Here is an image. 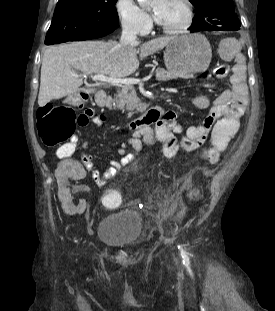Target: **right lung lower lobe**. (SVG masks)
<instances>
[{"label": "right lung lower lobe", "instance_id": "right-lung-lower-lobe-1", "mask_svg": "<svg viewBox=\"0 0 275 311\" xmlns=\"http://www.w3.org/2000/svg\"><path fill=\"white\" fill-rule=\"evenodd\" d=\"M87 39H94V38H86V37H83V38H78V39L71 40V41H81V40H87Z\"/></svg>", "mask_w": 275, "mask_h": 311}]
</instances>
